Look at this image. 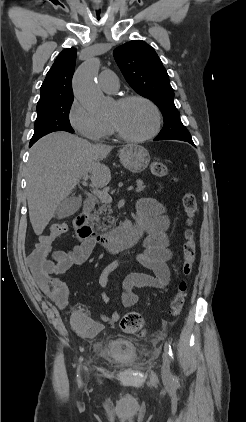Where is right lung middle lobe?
I'll return each mask as SVG.
<instances>
[{
	"mask_svg": "<svg viewBox=\"0 0 246 422\" xmlns=\"http://www.w3.org/2000/svg\"><path fill=\"white\" fill-rule=\"evenodd\" d=\"M73 98L58 100L37 108V118L34 124V135L30 143H35L41 137L55 131L73 133L70 125L69 111Z\"/></svg>",
	"mask_w": 246,
	"mask_h": 422,
	"instance_id": "obj_1",
	"label": "right lung middle lobe"
}]
</instances>
